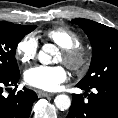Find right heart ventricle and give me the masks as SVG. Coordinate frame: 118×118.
I'll return each mask as SVG.
<instances>
[{"instance_id":"obj_1","label":"right heart ventricle","mask_w":118,"mask_h":118,"mask_svg":"<svg viewBox=\"0 0 118 118\" xmlns=\"http://www.w3.org/2000/svg\"><path fill=\"white\" fill-rule=\"evenodd\" d=\"M44 37L57 44L60 48L77 47L80 44L79 35L64 26H56L44 33Z\"/></svg>"}]
</instances>
